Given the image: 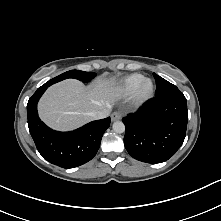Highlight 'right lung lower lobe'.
I'll return each instance as SVG.
<instances>
[{
	"mask_svg": "<svg viewBox=\"0 0 221 221\" xmlns=\"http://www.w3.org/2000/svg\"><path fill=\"white\" fill-rule=\"evenodd\" d=\"M42 85L27 104L28 127L37 150L48 162L62 168H74L90 161L97 153L101 138L110 126V117L90 122L70 132L47 127L37 113V102L48 88Z\"/></svg>",
	"mask_w": 221,
	"mask_h": 221,
	"instance_id": "98d812e1",
	"label": "right lung lower lobe"
}]
</instances>
